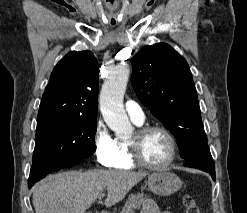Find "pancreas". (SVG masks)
Masks as SVG:
<instances>
[{"label":"pancreas","mask_w":247,"mask_h":213,"mask_svg":"<svg viewBox=\"0 0 247 213\" xmlns=\"http://www.w3.org/2000/svg\"><path fill=\"white\" fill-rule=\"evenodd\" d=\"M145 198L142 193L130 195L120 213H135L136 210L140 209Z\"/></svg>","instance_id":"1"}]
</instances>
